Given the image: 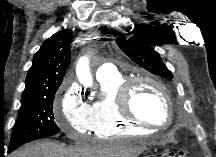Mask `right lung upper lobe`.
Instances as JSON below:
<instances>
[{
  "label": "right lung upper lobe",
  "instance_id": "cb5924a9",
  "mask_svg": "<svg viewBox=\"0 0 216 157\" xmlns=\"http://www.w3.org/2000/svg\"><path fill=\"white\" fill-rule=\"evenodd\" d=\"M72 34L71 30L63 29L42 44L28 70L22 98L59 88L70 63Z\"/></svg>",
  "mask_w": 216,
  "mask_h": 157
}]
</instances>
